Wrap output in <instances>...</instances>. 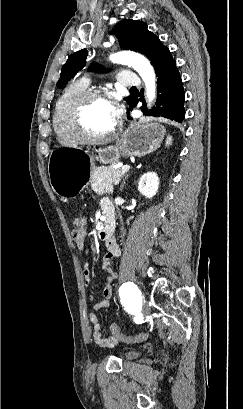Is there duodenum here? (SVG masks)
Listing matches in <instances>:
<instances>
[{"mask_svg": "<svg viewBox=\"0 0 243 409\" xmlns=\"http://www.w3.org/2000/svg\"><path fill=\"white\" fill-rule=\"evenodd\" d=\"M105 220L104 222L98 227V238L103 240H108L113 237L114 229H115V217L114 212L110 209H105Z\"/></svg>", "mask_w": 243, "mask_h": 409, "instance_id": "duodenum-1", "label": "duodenum"}]
</instances>
